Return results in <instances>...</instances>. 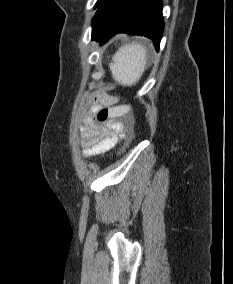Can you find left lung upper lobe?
I'll list each match as a JSON object with an SVG mask.
<instances>
[{"label": "left lung upper lobe", "mask_w": 233, "mask_h": 284, "mask_svg": "<svg viewBox=\"0 0 233 284\" xmlns=\"http://www.w3.org/2000/svg\"><path fill=\"white\" fill-rule=\"evenodd\" d=\"M102 1H103V0H97V2H96V4H95L94 8L96 9V8L100 5V3H101Z\"/></svg>", "instance_id": "obj_1"}]
</instances>
